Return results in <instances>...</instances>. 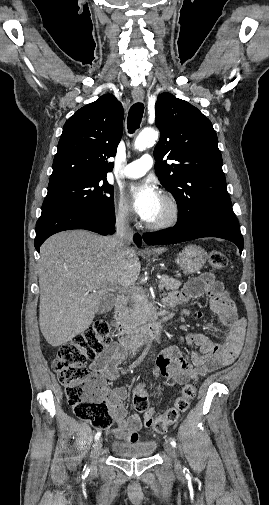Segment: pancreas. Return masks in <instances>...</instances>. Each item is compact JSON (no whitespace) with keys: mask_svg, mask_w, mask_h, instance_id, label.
<instances>
[{"mask_svg":"<svg viewBox=\"0 0 269 505\" xmlns=\"http://www.w3.org/2000/svg\"><path fill=\"white\" fill-rule=\"evenodd\" d=\"M181 282L168 276H163L160 280L161 288L167 291L177 290ZM160 288V289H161ZM130 304L122 312V319L125 324L139 325L145 322L147 318V296L144 290L137 288L128 295Z\"/></svg>","mask_w":269,"mask_h":505,"instance_id":"1","label":"pancreas"}]
</instances>
